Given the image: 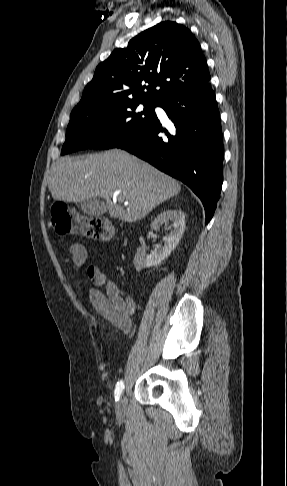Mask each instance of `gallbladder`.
<instances>
[{
	"label": "gallbladder",
	"instance_id": "bac80fb5",
	"mask_svg": "<svg viewBox=\"0 0 287 486\" xmlns=\"http://www.w3.org/2000/svg\"><path fill=\"white\" fill-rule=\"evenodd\" d=\"M77 206L88 216H101L107 212L105 203L98 198L81 201Z\"/></svg>",
	"mask_w": 287,
	"mask_h": 486
}]
</instances>
